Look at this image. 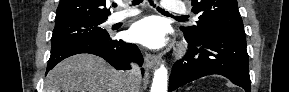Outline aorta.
<instances>
[{"instance_id": "762f6f07", "label": "aorta", "mask_w": 289, "mask_h": 92, "mask_svg": "<svg viewBox=\"0 0 289 92\" xmlns=\"http://www.w3.org/2000/svg\"><path fill=\"white\" fill-rule=\"evenodd\" d=\"M168 72L162 64L154 72V78L151 86V92H167Z\"/></svg>"}]
</instances>
